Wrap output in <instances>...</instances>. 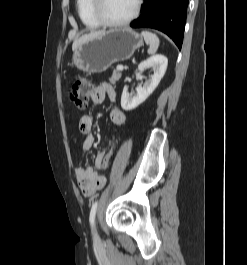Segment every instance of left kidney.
Returning <instances> with one entry per match:
<instances>
[{"label": "left kidney", "instance_id": "left-kidney-1", "mask_svg": "<svg viewBox=\"0 0 247 265\" xmlns=\"http://www.w3.org/2000/svg\"><path fill=\"white\" fill-rule=\"evenodd\" d=\"M167 65L168 59L161 54L154 55L139 64V71H144L148 67H152L154 69V74L143 87L138 86L136 88V94L133 96L128 94L127 87L123 89L121 96V107L123 110L130 111L135 109L137 106L143 103L150 94H152L164 76Z\"/></svg>", "mask_w": 247, "mask_h": 265}]
</instances>
